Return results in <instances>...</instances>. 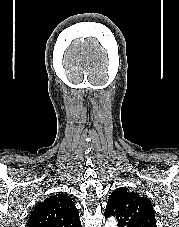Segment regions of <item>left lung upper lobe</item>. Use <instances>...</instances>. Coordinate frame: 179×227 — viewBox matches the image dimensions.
<instances>
[{"instance_id":"left-lung-upper-lobe-1","label":"left lung upper lobe","mask_w":179,"mask_h":227,"mask_svg":"<svg viewBox=\"0 0 179 227\" xmlns=\"http://www.w3.org/2000/svg\"><path fill=\"white\" fill-rule=\"evenodd\" d=\"M104 215L116 217L118 227H157L150 201L124 187L111 193Z\"/></svg>"}]
</instances>
